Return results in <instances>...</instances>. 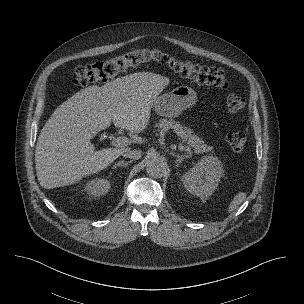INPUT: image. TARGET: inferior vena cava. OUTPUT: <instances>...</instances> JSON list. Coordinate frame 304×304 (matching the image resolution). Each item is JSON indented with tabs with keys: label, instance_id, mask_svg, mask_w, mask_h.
Instances as JSON below:
<instances>
[{
	"label": "inferior vena cava",
	"instance_id": "inferior-vena-cava-1",
	"mask_svg": "<svg viewBox=\"0 0 304 304\" xmlns=\"http://www.w3.org/2000/svg\"><path fill=\"white\" fill-rule=\"evenodd\" d=\"M141 155H142V151L136 150V149H134V150H127L123 154L124 157L131 158V159H140Z\"/></svg>",
	"mask_w": 304,
	"mask_h": 304
}]
</instances>
